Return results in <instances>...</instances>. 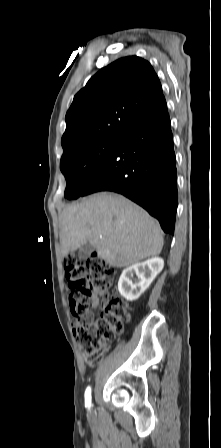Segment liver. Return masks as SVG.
<instances>
[{
	"mask_svg": "<svg viewBox=\"0 0 221 448\" xmlns=\"http://www.w3.org/2000/svg\"><path fill=\"white\" fill-rule=\"evenodd\" d=\"M63 256L91 243L112 267H127L161 253L158 222L125 197L98 193L66 207L60 217Z\"/></svg>",
	"mask_w": 221,
	"mask_h": 448,
	"instance_id": "1",
	"label": "liver"
}]
</instances>
